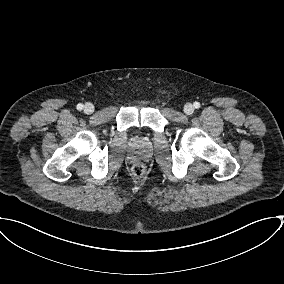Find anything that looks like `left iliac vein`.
Here are the masks:
<instances>
[{
    "label": "left iliac vein",
    "mask_w": 284,
    "mask_h": 284,
    "mask_svg": "<svg viewBox=\"0 0 284 284\" xmlns=\"http://www.w3.org/2000/svg\"><path fill=\"white\" fill-rule=\"evenodd\" d=\"M184 112H185L187 115L193 114V112H194V106H193L191 103L185 104V106H184Z\"/></svg>",
    "instance_id": "left-iliac-vein-1"
}]
</instances>
